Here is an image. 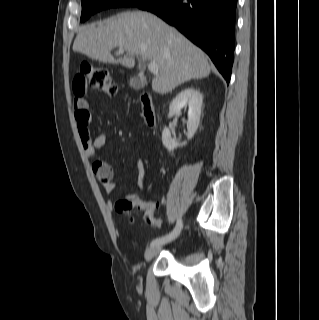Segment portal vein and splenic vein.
Here are the masks:
<instances>
[{
	"mask_svg": "<svg viewBox=\"0 0 319 320\" xmlns=\"http://www.w3.org/2000/svg\"><path fill=\"white\" fill-rule=\"evenodd\" d=\"M119 53H120V54H123V53H124V49L120 48V49H119ZM148 70H149L151 73L157 75V74H158V71H159V66H158V64H157L156 62H150V63L148 64Z\"/></svg>",
	"mask_w": 319,
	"mask_h": 320,
	"instance_id": "1",
	"label": "portal vein and splenic vein"
}]
</instances>
